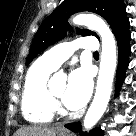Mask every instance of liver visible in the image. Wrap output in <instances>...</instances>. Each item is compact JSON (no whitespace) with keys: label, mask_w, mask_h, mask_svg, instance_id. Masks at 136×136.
<instances>
[{"label":"liver","mask_w":136,"mask_h":136,"mask_svg":"<svg viewBox=\"0 0 136 136\" xmlns=\"http://www.w3.org/2000/svg\"><path fill=\"white\" fill-rule=\"evenodd\" d=\"M57 129L43 127H23L16 131L14 136H56Z\"/></svg>","instance_id":"obj_1"}]
</instances>
